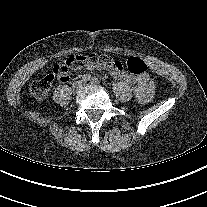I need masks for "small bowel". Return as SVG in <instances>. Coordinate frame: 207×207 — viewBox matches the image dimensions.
Masks as SVG:
<instances>
[{
	"instance_id": "small-bowel-1",
	"label": "small bowel",
	"mask_w": 207,
	"mask_h": 207,
	"mask_svg": "<svg viewBox=\"0 0 207 207\" xmlns=\"http://www.w3.org/2000/svg\"><path fill=\"white\" fill-rule=\"evenodd\" d=\"M88 70H105L112 75L116 80L125 84H136L133 88V96L140 103L149 102L155 93V84L148 75L132 76L123 71V65L120 61L115 60L113 63L106 67H99L96 65H87ZM58 80L62 83H67L70 80L69 74H59Z\"/></svg>"
}]
</instances>
